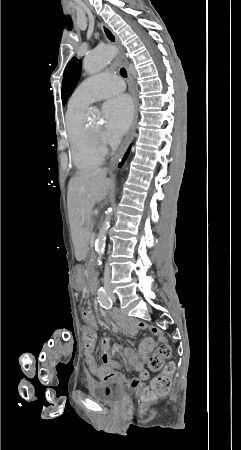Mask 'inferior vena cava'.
I'll return each instance as SVG.
<instances>
[{
	"label": "inferior vena cava",
	"mask_w": 241,
	"mask_h": 450,
	"mask_svg": "<svg viewBox=\"0 0 241 450\" xmlns=\"http://www.w3.org/2000/svg\"><path fill=\"white\" fill-rule=\"evenodd\" d=\"M110 274H111V270L107 264L106 268H105V272H104V278L105 280H110Z\"/></svg>",
	"instance_id": "1"
}]
</instances>
